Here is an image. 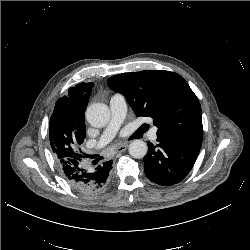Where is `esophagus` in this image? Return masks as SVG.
Instances as JSON below:
<instances>
[{
    "label": "esophagus",
    "instance_id": "esophagus-1",
    "mask_svg": "<svg viewBox=\"0 0 250 250\" xmlns=\"http://www.w3.org/2000/svg\"><path fill=\"white\" fill-rule=\"evenodd\" d=\"M128 148V143L120 144L116 147L118 152H124Z\"/></svg>",
    "mask_w": 250,
    "mask_h": 250
}]
</instances>
